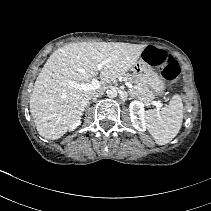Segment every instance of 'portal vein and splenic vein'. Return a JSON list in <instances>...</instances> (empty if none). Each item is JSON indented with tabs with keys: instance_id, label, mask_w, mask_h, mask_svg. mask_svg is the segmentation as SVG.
I'll return each mask as SVG.
<instances>
[{
	"instance_id": "1",
	"label": "portal vein and splenic vein",
	"mask_w": 211,
	"mask_h": 211,
	"mask_svg": "<svg viewBox=\"0 0 211 211\" xmlns=\"http://www.w3.org/2000/svg\"><path fill=\"white\" fill-rule=\"evenodd\" d=\"M104 63H106V62H104ZM104 63L98 64L97 68L99 70H101L103 68V64ZM70 85L76 86L77 84L72 81V82H70ZM125 85L129 89L133 88V85L130 82H125ZM100 86H101V83L96 78H93L91 83H86V84L79 85V87L81 89H83V90L98 89V88H100ZM150 104L156 106L158 109H160V107H162V105H163L160 101H152Z\"/></svg>"
}]
</instances>
